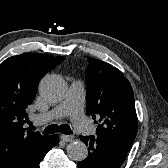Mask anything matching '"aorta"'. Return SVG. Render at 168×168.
I'll return each mask as SVG.
<instances>
[{
  "label": "aorta",
  "mask_w": 168,
  "mask_h": 168,
  "mask_svg": "<svg viewBox=\"0 0 168 168\" xmlns=\"http://www.w3.org/2000/svg\"><path fill=\"white\" fill-rule=\"evenodd\" d=\"M66 90L65 81L55 74L43 77L39 85L41 96L50 103L60 102L64 98ZM67 154L74 161H83L88 155V148L82 141H74L67 146Z\"/></svg>",
  "instance_id": "aorta-1"
}]
</instances>
